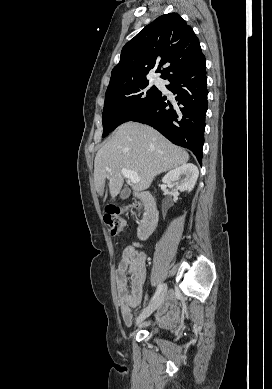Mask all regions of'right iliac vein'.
<instances>
[{"label": "right iliac vein", "mask_w": 272, "mask_h": 389, "mask_svg": "<svg viewBox=\"0 0 272 389\" xmlns=\"http://www.w3.org/2000/svg\"><path fill=\"white\" fill-rule=\"evenodd\" d=\"M167 293V285L164 284L161 293L157 296L155 301L142 311V313L136 319V325L140 324L147 317H149L163 302L165 295Z\"/></svg>", "instance_id": "63e3f726"}]
</instances>
